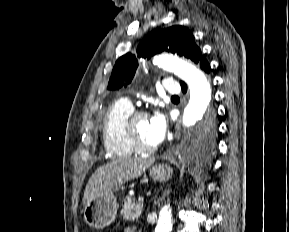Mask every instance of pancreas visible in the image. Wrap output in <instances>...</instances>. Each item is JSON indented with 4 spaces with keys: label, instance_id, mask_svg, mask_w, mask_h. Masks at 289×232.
Wrapping results in <instances>:
<instances>
[{
    "label": "pancreas",
    "instance_id": "obj_1",
    "mask_svg": "<svg viewBox=\"0 0 289 232\" xmlns=\"http://www.w3.org/2000/svg\"><path fill=\"white\" fill-rule=\"evenodd\" d=\"M142 211L143 205L141 203H137L135 199L127 197L124 200V204L120 213L123 215L125 220L138 221Z\"/></svg>",
    "mask_w": 289,
    "mask_h": 232
}]
</instances>
